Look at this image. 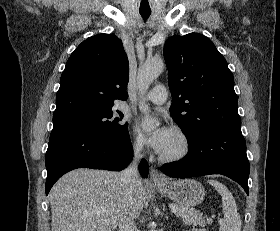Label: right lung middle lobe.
<instances>
[{"mask_svg": "<svg viewBox=\"0 0 280 231\" xmlns=\"http://www.w3.org/2000/svg\"><path fill=\"white\" fill-rule=\"evenodd\" d=\"M120 118L109 121L113 112H106L99 115L75 118L53 123V130L59 129H79L93 134L118 136L127 132L128 124L119 123L123 114L119 112Z\"/></svg>", "mask_w": 280, "mask_h": 231, "instance_id": "dd1d6c3e", "label": "right lung middle lobe"}]
</instances>
